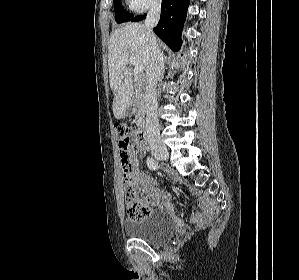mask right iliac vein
<instances>
[{
	"label": "right iliac vein",
	"mask_w": 299,
	"mask_h": 280,
	"mask_svg": "<svg viewBox=\"0 0 299 280\" xmlns=\"http://www.w3.org/2000/svg\"><path fill=\"white\" fill-rule=\"evenodd\" d=\"M152 153L155 156V158L159 160H166L169 157V152L165 147L153 149Z\"/></svg>",
	"instance_id": "1"
}]
</instances>
